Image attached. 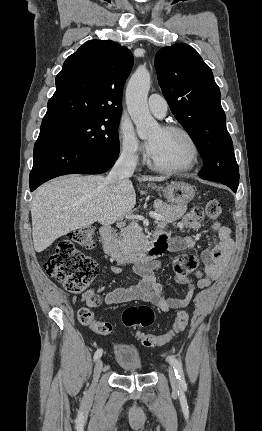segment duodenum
Segmentation results:
<instances>
[{
    "instance_id": "410a0bca",
    "label": "duodenum",
    "mask_w": 262,
    "mask_h": 431,
    "mask_svg": "<svg viewBox=\"0 0 262 431\" xmlns=\"http://www.w3.org/2000/svg\"><path fill=\"white\" fill-rule=\"evenodd\" d=\"M100 236L105 254L114 257L120 264L141 263L153 254L163 249L160 239L154 241L150 248L140 254L125 252L119 248L117 238L114 236L111 225L105 224L100 228Z\"/></svg>"
}]
</instances>
